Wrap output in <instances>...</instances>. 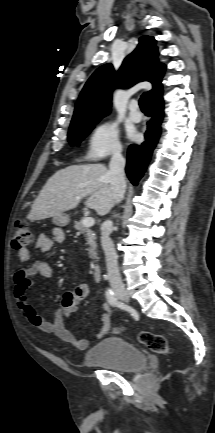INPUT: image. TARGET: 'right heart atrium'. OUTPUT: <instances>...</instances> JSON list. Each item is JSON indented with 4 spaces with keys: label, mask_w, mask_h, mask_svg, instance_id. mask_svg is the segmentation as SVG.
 <instances>
[{
    "label": "right heart atrium",
    "mask_w": 215,
    "mask_h": 433,
    "mask_svg": "<svg viewBox=\"0 0 215 433\" xmlns=\"http://www.w3.org/2000/svg\"><path fill=\"white\" fill-rule=\"evenodd\" d=\"M121 151L118 127L107 121L97 125L88 139L86 158L100 160Z\"/></svg>",
    "instance_id": "right-heart-atrium-1"
}]
</instances>
